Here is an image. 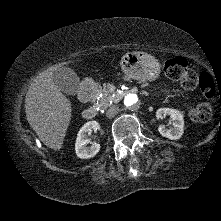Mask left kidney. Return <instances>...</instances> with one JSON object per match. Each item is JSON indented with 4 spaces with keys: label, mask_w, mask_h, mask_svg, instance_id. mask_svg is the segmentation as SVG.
I'll return each instance as SVG.
<instances>
[{
    "label": "left kidney",
    "mask_w": 221,
    "mask_h": 221,
    "mask_svg": "<svg viewBox=\"0 0 221 221\" xmlns=\"http://www.w3.org/2000/svg\"><path fill=\"white\" fill-rule=\"evenodd\" d=\"M169 115L173 121V127L171 129L165 128L164 125H160L158 128L159 133L168 139L178 140L183 135L184 119L180 111L172 108H160L156 112L157 119H162L164 116Z\"/></svg>",
    "instance_id": "1"
}]
</instances>
